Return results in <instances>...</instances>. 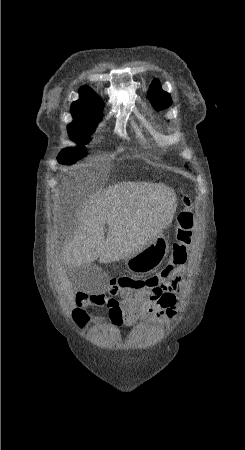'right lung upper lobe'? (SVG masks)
<instances>
[{
    "label": "right lung upper lobe",
    "mask_w": 245,
    "mask_h": 450,
    "mask_svg": "<svg viewBox=\"0 0 245 450\" xmlns=\"http://www.w3.org/2000/svg\"><path fill=\"white\" fill-rule=\"evenodd\" d=\"M79 94V99L71 105V112L73 116H77L78 113L85 109L103 106L102 99L99 98L94 90L89 86H82L79 89Z\"/></svg>",
    "instance_id": "1"
}]
</instances>
